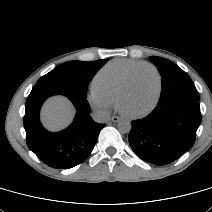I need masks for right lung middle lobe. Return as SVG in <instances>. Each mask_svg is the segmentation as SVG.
I'll return each instance as SVG.
<instances>
[{
    "label": "right lung middle lobe",
    "instance_id": "dd1d6c3e",
    "mask_svg": "<svg viewBox=\"0 0 212 212\" xmlns=\"http://www.w3.org/2000/svg\"><path fill=\"white\" fill-rule=\"evenodd\" d=\"M108 59L68 61L42 76L34 87L66 88L87 95L89 82Z\"/></svg>",
    "mask_w": 212,
    "mask_h": 212
}]
</instances>
